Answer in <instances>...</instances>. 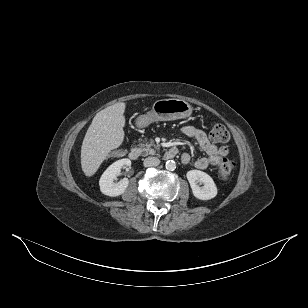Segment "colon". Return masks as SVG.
I'll use <instances>...</instances> for the list:
<instances>
[{
  "label": "colon",
  "instance_id": "5ec220e1",
  "mask_svg": "<svg viewBox=\"0 0 308 308\" xmlns=\"http://www.w3.org/2000/svg\"><path fill=\"white\" fill-rule=\"evenodd\" d=\"M210 137L212 141L216 143H225L229 140L230 135L227 128L222 124H216L213 126ZM234 163L226 158H223L217 167V175L222 180H228L234 171Z\"/></svg>",
  "mask_w": 308,
  "mask_h": 308
}]
</instances>
